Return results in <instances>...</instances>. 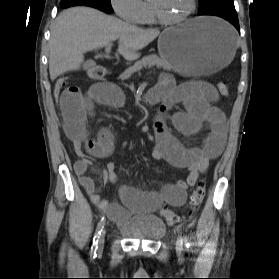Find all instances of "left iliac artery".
Listing matches in <instances>:
<instances>
[{
    "mask_svg": "<svg viewBox=\"0 0 279 279\" xmlns=\"http://www.w3.org/2000/svg\"><path fill=\"white\" fill-rule=\"evenodd\" d=\"M184 241H185V246H186V248L189 249L190 243L188 242L187 237L184 238Z\"/></svg>",
    "mask_w": 279,
    "mask_h": 279,
    "instance_id": "1",
    "label": "left iliac artery"
}]
</instances>
